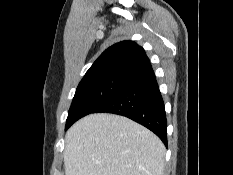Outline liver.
<instances>
[{"label": "liver", "instance_id": "1", "mask_svg": "<svg viewBox=\"0 0 233 175\" xmlns=\"http://www.w3.org/2000/svg\"><path fill=\"white\" fill-rule=\"evenodd\" d=\"M165 146L150 130L114 114L88 115L65 136V175H163Z\"/></svg>", "mask_w": 233, "mask_h": 175}]
</instances>
